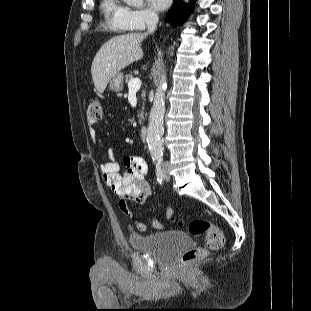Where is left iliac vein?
Masks as SVG:
<instances>
[{"label":"left iliac vein","mask_w":311,"mask_h":311,"mask_svg":"<svg viewBox=\"0 0 311 311\" xmlns=\"http://www.w3.org/2000/svg\"><path fill=\"white\" fill-rule=\"evenodd\" d=\"M164 178L166 181H168L170 179L169 167L168 166L164 167Z\"/></svg>","instance_id":"4c4485c4"}]
</instances>
